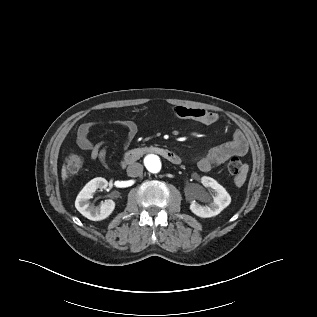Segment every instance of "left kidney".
Instances as JSON below:
<instances>
[{
  "mask_svg": "<svg viewBox=\"0 0 317 317\" xmlns=\"http://www.w3.org/2000/svg\"><path fill=\"white\" fill-rule=\"evenodd\" d=\"M201 183L214 192L213 202L208 205H200L194 200L190 204V210L202 218L216 216L231 203V197L225 188L211 177L203 176Z\"/></svg>",
  "mask_w": 317,
  "mask_h": 317,
  "instance_id": "5707ae66",
  "label": "left kidney"
}]
</instances>
